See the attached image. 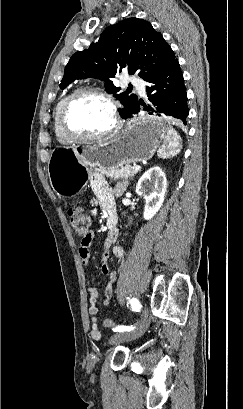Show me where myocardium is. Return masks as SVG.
I'll return each mask as SVG.
<instances>
[{
	"label": "myocardium",
	"mask_w": 243,
	"mask_h": 409,
	"mask_svg": "<svg viewBox=\"0 0 243 409\" xmlns=\"http://www.w3.org/2000/svg\"><path fill=\"white\" fill-rule=\"evenodd\" d=\"M86 95L94 96L101 99L109 107L112 124L107 130H105L102 133L95 135H83L72 131L67 124V115L71 104L78 97ZM59 123L61 130L65 134V136L70 140L77 142H94L107 139L110 136L114 135L120 129L121 126L117 105L114 99L111 97V95H109L108 93L104 92L101 89L91 87L77 89L65 98L59 113Z\"/></svg>",
	"instance_id": "myocardium-1"
}]
</instances>
